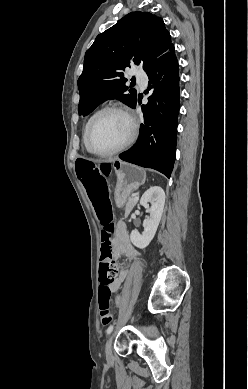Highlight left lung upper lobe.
Here are the masks:
<instances>
[{
    "instance_id": "obj_1",
    "label": "left lung upper lobe",
    "mask_w": 248,
    "mask_h": 389,
    "mask_svg": "<svg viewBox=\"0 0 248 389\" xmlns=\"http://www.w3.org/2000/svg\"><path fill=\"white\" fill-rule=\"evenodd\" d=\"M171 45L163 19L149 12H131L99 34L86 51L78 79L79 115L86 116L103 101L114 98L132 107L137 93L125 85L122 70L142 63L147 72Z\"/></svg>"
}]
</instances>
